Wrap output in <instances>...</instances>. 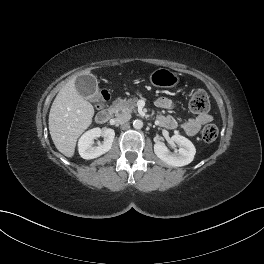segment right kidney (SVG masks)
<instances>
[{
	"label": "right kidney",
	"mask_w": 264,
	"mask_h": 264,
	"mask_svg": "<svg viewBox=\"0 0 264 264\" xmlns=\"http://www.w3.org/2000/svg\"><path fill=\"white\" fill-rule=\"evenodd\" d=\"M100 136L104 137L103 143L98 144V146H93L94 140ZM114 137L115 132L110 128L103 131L100 128L88 130L78 141V151L80 156L89 160L105 154L111 149Z\"/></svg>",
	"instance_id": "ca27d5eb"
}]
</instances>
